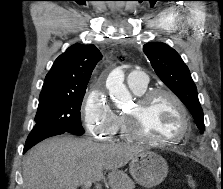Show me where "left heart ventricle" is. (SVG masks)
I'll list each match as a JSON object with an SVG mask.
<instances>
[{"instance_id": "b2bd125f", "label": "left heart ventricle", "mask_w": 223, "mask_h": 189, "mask_svg": "<svg viewBox=\"0 0 223 189\" xmlns=\"http://www.w3.org/2000/svg\"><path fill=\"white\" fill-rule=\"evenodd\" d=\"M136 109V104L129 111ZM140 130L147 136L157 139H172L179 135L182 127L181 113L173 101L161 96L152 101L139 114Z\"/></svg>"}]
</instances>
